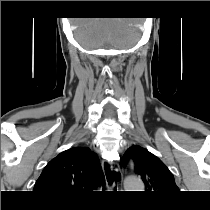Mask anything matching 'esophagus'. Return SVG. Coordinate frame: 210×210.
<instances>
[{
    "mask_svg": "<svg viewBox=\"0 0 210 210\" xmlns=\"http://www.w3.org/2000/svg\"><path fill=\"white\" fill-rule=\"evenodd\" d=\"M102 166L104 169L107 187H109L110 185H112L113 187L116 186L117 191H122L123 190V174L120 173L117 175L115 179H113L110 175L112 172L113 163L107 160H103Z\"/></svg>",
    "mask_w": 210,
    "mask_h": 210,
    "instance_id": "esophagus-1",
    "label": "esophagus"
}]
</instances>
